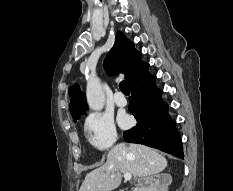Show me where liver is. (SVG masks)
Masks as SVG:
<instances>
[{"mask_svg":"<svg viewBox=\"0 0 233 191\" xmlns=\"http://www.w3.org/2000/svg\"><path fill=\"white\" fill-rule=\"evenodd\" d=\"M167 160L156 150L140 145L120 143L107 154L101 167L89 172L79 191H112L121 183V172L143 178L162 172Z\"/></svg>","mask_w":233,"mask_h":191,"instance_id":"6515ba94","label":"liver"}]
</instances>
